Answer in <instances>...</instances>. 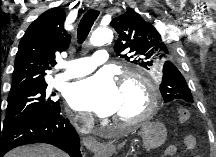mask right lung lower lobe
<instances>
[{
	"mask_svg": "<svg viewBox=\"0 0 216 157\" xmlns=\"http://www.w3.org/2000/svg\"><path fill=\"white\" fill-rule=\"evenodd\" d=\"M59 108L52 113L37 114L16 123L0 127V157L13 148L42 142L52 144L70 157H82L79 137L69 120L60 114Z\"/></svg>",
	"mask_w": 216,
	"mask_h": 157,
	"instance_id": "obj_1",
	"label": "right lung lower lobe"
}]
</instances>
